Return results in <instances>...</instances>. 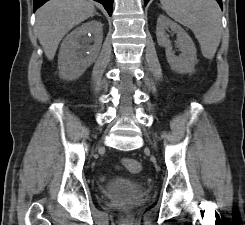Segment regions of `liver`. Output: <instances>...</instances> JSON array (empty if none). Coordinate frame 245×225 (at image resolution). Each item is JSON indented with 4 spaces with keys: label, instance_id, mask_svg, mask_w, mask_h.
Instances as JSON below:
<instances>
[{
    "label": "liver",
    "instance_id": "obj_1",
    "mask_svg": "<svg viewBox=\"0 0 245 225\" xmlns=\"http://www.w3.org/2000/svg\"><path fill=\"white\" fill-rule=\"evenodd\" d=\"M89 0H49L36 12V30L48 60H52L62 38L76 25L94 16Z\"/></svg>",
    "mask_w": 245,
    "mask_h": 225
}]
</instances>
